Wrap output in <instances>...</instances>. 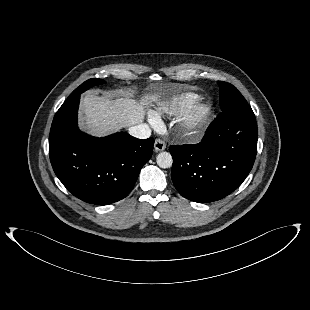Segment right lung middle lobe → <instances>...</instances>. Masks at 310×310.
I'll return each mask as SVG.
<instances>
[{"label": "right lung middle lobe", "instance_id": "obj_1", "mask_svg": "<svg viewBox=\"0 0 310 310\" xmlns=\"http://www.w3.org/2000/svg\"><path fill=\"white\" fill-rule=\"evenodd\" d=\"M103 83H104V81L102 79H99V78L89 79V80L85 81L83 84H81L78 88H76L71 93V95L69 97L75 96L77 94H81L84 91L88 90L90 87L95 86V85H99V84H103Z\"/></svg>", "mask_w": 310, "mask_h": 310}]
</instances>
